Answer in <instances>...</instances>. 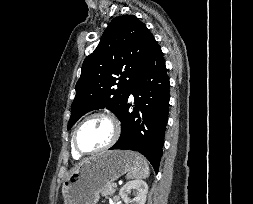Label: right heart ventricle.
<instances>
[{"instance_id": "obj_1", "label": "right heart ventricle", "mask_w": 253, "mask_h": 204, "mask_svg": "<svg viewBox=\"0 0 253 204\" xmlns=\"http://www.w3.org/2000/svg\"><path fill=\"white\" fill-rule=\"evenodd\" d=\"M72 156L74 157V159H79L81 157L73 150V147H72Z\"/></svg>"}]
</instances>
